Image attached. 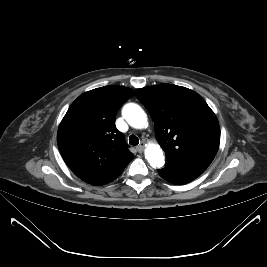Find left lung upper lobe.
<instances>
[{
  "mask_svg": "<svg viewBox=\"0 0 267 267\" xmlns=\"http://www.w3.org/2000/svg\"><path fill=\"white\" fill-rule=\"evenodd\" d=\"M150 113L155 135L166 162L203 173L220 143V127L214 112L196 92L172 84L136 90Z\"/></svg>",
  "mask_w": 267,
  "mask_h": 267,
  "instance_id": "left-lung-upper-lobe-1",
  "label": "left lung upper lobe"
}]
</instances>
